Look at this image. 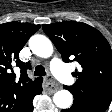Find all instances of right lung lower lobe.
<instances>
[{"label": "right lung lower lobe", "mask_w": 112, "mask_h": 112, "mask_svg": "<svg viewBox=\"0 0 112 112\" xmlns=\"http://www.w3.org/2000/svg\"><path fill=\"white\" fill-rule=\"evenodd\" d=\"M42 92V85L38 88V90L35 92V94L29 99L28 103L26 104L24 110L22 112H33V98L36 95H39Z\"/></svg>", "instance_id": "1"}]
</instances>
